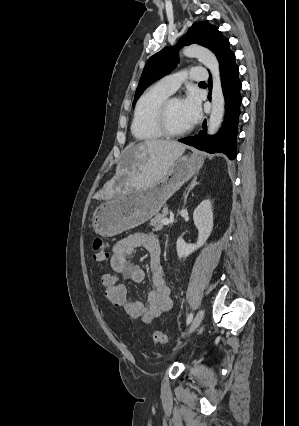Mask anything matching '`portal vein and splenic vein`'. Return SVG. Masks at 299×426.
Instances as JSON below:
<instances>
[{"label":"portal vein and splenic vein","instance_id":"obj_1","mask_svg":"<svg viewBox=\"0 0 299 426\" xmlns=\"http://www.w3.org/2000/svg\"><path fill=\"white\" fill-rule=\"evenodd\" d=\"M162 222L164 225H168L170 223V220L168 218H164Z\"/></svg>","mask_w":299,"mask_h":426}]
</instances>
